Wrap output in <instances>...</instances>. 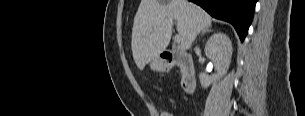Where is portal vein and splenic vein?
I'll return each instance as SVG.
<instances>
[{
	"mask_svg": "<svg viewBox=\"0 0 305 116\" xmlns=\"http://www.w3.org/2000/svg\"><path fill=\"white\" fill-rule=\"evenodd\" d=\"M175 43H180L181 41V36L179 34H177L174 38Z\"/></svg>",
	"mask_w": 305,
	"mask_h": 116,
	"instance_id": "portal-vein-and-splenic-vein-1",
	"label": "portal vein and splenic vein"
}]
</instances>
